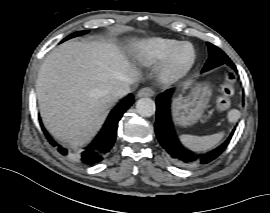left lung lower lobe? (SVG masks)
Returning a JSON list of instances; mask_svg holds the SVG:
<instances>
[{"instance_id":"0a47b994","label":"left lung lower lobe","mask_w":270,"mask_h":213,"mask_svg":"<svg viewBox=\"0 0 270 213\" xmlns=\"http://www.w3.org/2000/svg\"><path fill=\"white\" fill-rule=\"evenodd\" d=\"M236 72L235 65L231 66ZM173 90H167L156 99L155 131L158 141L166 151L169 159L180 167H193L207 164L217 158L229 144L236 127L227 140L216 149L203 154H195L183 148L178 141L170 116V100Z\"/></svg>"}]
</instances>
